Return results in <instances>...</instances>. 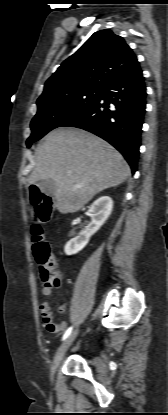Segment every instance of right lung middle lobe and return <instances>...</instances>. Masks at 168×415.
<instances>
[{"label": "right lung middle lobe", "instance_id": "1", "mask_svg": "<svg viewBox=\"0 0 168 415\" xmlns=\"http://www.w3.org/2000/svg\"><path fill=\"white\" fill-rule=\"evenodd\" d=\"M102 92L103 89H84L37 104L38 111L31 121L32 133L26 141L27 147L91 106Z\"/></svg>", "mask_w": 168, "mask_h": 415}]
</instances>
